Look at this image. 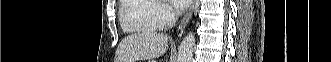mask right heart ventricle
Segmentation results:
<instances>
[{
    "instance_id": "right-heart-ventricle-1",
    "label": "right heart ventricle",
    "mask_w": 331,
    "mask_h": 62,
    "mask_svg": "<svg viewBox=\"0 0 331 62\" xmlns=\"http://www.w3.org/2000/svg\"><path fill=\"white\" fill-rule=\"evenodd\" d=\"M154 5L147 0H123L120 23L126 32L150 33L157 28L152 20Z\"/></svg>"
}]
</instances>
